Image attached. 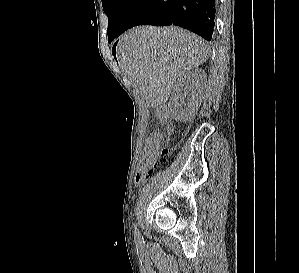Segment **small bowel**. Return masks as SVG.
<instances>
[{"label": "small bowel", "mask_w": 299, "mask_h": 273, "mask_svg": "<svg viewBox=\"0 0 299 273\" xmlns=\"http://www.w3.org/2000/svg\"><path fill=\"white\" fill-rule=\"evenodd\" d=\"M142 182H143V180H137V179H136V183L140 184V183H142Z\"/></svg>", "instance_id": "small-bowel-1"}]
</instances>
